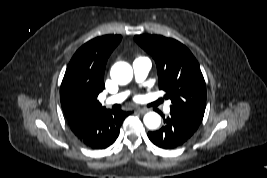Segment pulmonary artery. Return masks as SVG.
Masks as SVG:
<instances>
[{"label": "pulmonary artery", "mask_w": 267, "mask_h": 178, "mask_svg": "<svg viewBox=\"0 0 267 178\" xmlns=\"http://www.w3.org/2000/svg\"><path fill=\"white\" fill-rule=\"evenodd\" d=\"M150 68H151V61L147 58H138L133 62L134 74L138 81H142L143 79L146 78ZM127 94H128L127 92H124L105 98L103 100V105L109 106L112 104L120 103L126 98ZM166 112H169V108L166 109Z\"/></svg>", "instance_id": "pulmonary-artery-1"}]
</instances>
